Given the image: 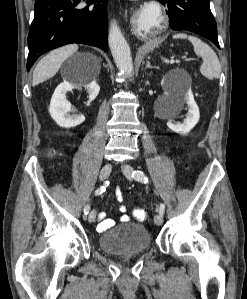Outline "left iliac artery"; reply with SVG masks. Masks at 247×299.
<instances>
[{"mask_svg": "<svg viewBox=\"0 0 247 299\" xmlns=\"http://www.w3.org/2000/svg\"><path fill=\"white\" fill-rule=\"evenodd\" d=\"M132 177H134L137 181H140L142 183H147L148 182V179L145 176V174L142 171H139V170L134 171L132 173ZM164 212H165V205L162 203V204H160V207H159V214L161 216H163Z\"/></svg>", "mask_w": 247, "mask_h": 299, "instance_id": "1", "label": "left iliac artery"}]
</instances>
